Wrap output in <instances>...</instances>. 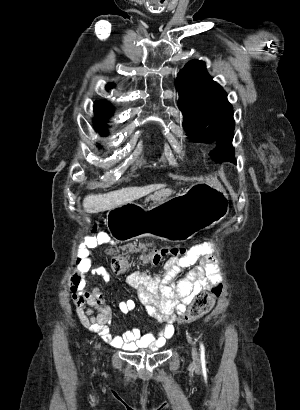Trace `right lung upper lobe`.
Instances as JSON below:
<instances>
[{
  "label": "right lung upper lobe",
  "mask_w": 300,
  "mask_h": 410,
  "mask_svg": "<svg viewBox=\"0 0 300 410\" xmlns=\"http://www.w3.org/2000/svg\"><path fill=\"white\" fill-rule=\"evenodd\" d=\"M110 85L107 86V88H109ZM96 110L101 114L104 115L106 117H109L111 115H113V109L112 106H110L108 103L103 102V101H99L96 103L95 105Z\"/></svg>",
  "instance_id": "1"
}]
</instances>
